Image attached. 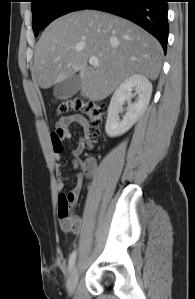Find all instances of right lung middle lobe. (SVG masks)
Listing matches in <instances>:
<instances>
[{"instance_id":"right-lung-middle-lobe-1","label":"right lung middle lobe","mask_w":195,"mask_h":299,"mask_svg":"<svg viewBox=\"0 0 195 299\" xmlns=\"http://www.w3.org/2000/svg\"><path fill=\"white\" fill-rule=\"evenodd\" d=\"M32 27L35 36L38 31L56 18L67 13L84 9L91 0H31Z\"/></svg>"}]
</instances>
